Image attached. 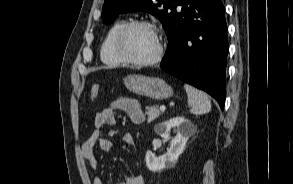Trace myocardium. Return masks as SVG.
<instances>
[{
  "mask_svg": "<svg viewBox=\"0 0 293 184\" xmlns=\"http://www.w3.org/2000/svg\"><path fill=\"white\" fill-rule=\"evenodd\" d=\"M134 27H145L150 29L157 40V51L153 57L146 60H135L128 57L121 48V43L124 35ZM165 42L163 39V35L160 29L154 24L146 20H132L126 22L116 33L113 39V50L115 55L126 64L134 65V66H152L160 62L165 54Z\"/></svg>",
  "mask_w": 293,
  "mask_h": 184,
  "instance_id": "f54148a6",
  "label": "myocardium"
}]
</instances>
